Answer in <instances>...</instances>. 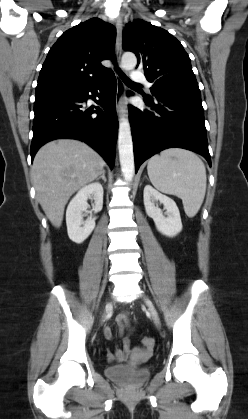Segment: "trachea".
<instances>
[{
    "label": "trachea",
    "mask_w": 248,
    "mask_h": 419,
    "mask_svg": "<svg viewBox=\"0 0 248 419\" xmlns=\"http://www.w3.org/2000/svg\"><path fill=\"white\" fill-rule=\"evenodd\" d=\"M118 73L120 77L122 78L123 82L127 85H139L138 83L133 82L130 80L120 69H118Z\"/></svg>",
    "instance_id": "trachea-1"
}]
</instances>
